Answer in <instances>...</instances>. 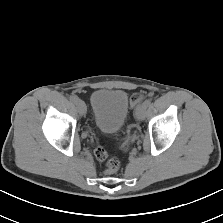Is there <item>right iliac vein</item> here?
I'll return each instance as SVG.
<instances>
[{"instance_id":"obj_1","label":"right iliac vein","mask_w":223,"mask_h":223,"mask_svg":"<svg viewBox=\"0 0 223 223\" xmlns=\"http://www.w3.org/2000/svg\"><path fill=\"white\" fill-rule=\"evenodd\" d=\"M76 106H77V108L79 110V113L81 115H85L86 114V112H87L86 105H85V103L82 100L78 99L76 101Z\"/></svg>"}]
</instances>
